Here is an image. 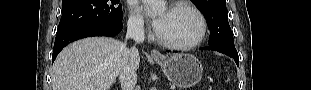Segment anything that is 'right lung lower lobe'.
<instances>
[{
    "mask_svg": "<svg viewBox=\"0 0 311 90\" xmlns=\"http://www.w3.org/2000/svg\"><path fill=\"white\" fill-rule=\"evenodd\" d=\"M122 28V23H88L78 25L61 32H57L54 43L52 62H54L58 53L70 42L91 36L113 37L117 35L122 30Z\"/></svg>",
    "mask_w": 311,
    "mask_h": 90,
    "instance_id": "98d812e1",
    "label": "right lung lower lobe"
}]
</instances>
